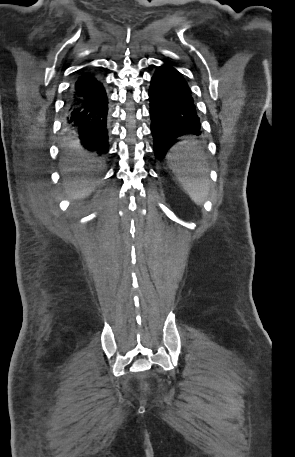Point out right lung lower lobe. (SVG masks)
<instances>
[{
  "instance_id": "right-lung-lower-lobe-1",
  "label": "right lung lower lobe",
  "mask_w": 295,
  "mask_h": 457,
  "mask_svg": "<svg viewBox=\"0 0 295 457\" xmlns=\"http://www.w3.org/2000/svg\"><path fill=\"white\" fill-rule=\"evenodd\" d=\"M108 102L100 77L86 68L71 84L66 101L67 124L78 128L81 145L98 156L109 150Z\"/></svg>"
}]
</instances>
